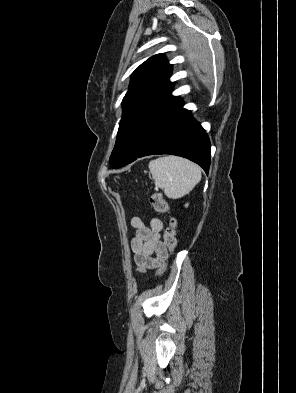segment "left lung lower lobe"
I'll list each match as a JSON object with an SVG mask.
<instances>
[{
    "label": "left lung lower lobe",
    "instance_id": "0a47b994",
    "mask_svg": "<svg viewBox=\"0 0 296 393\" xmlns=\"http://www.w3.org/2000/svg\"><path fill=\"white\" fill-rule=\"evenodd\" d=\"M210 147L205 130L177 97L149 125L124 165L147 155L172 154L197 163L208 173Z\"/></svg>",
    "mask_w": 296,
    "mask_h": 393
}]
</instances>
